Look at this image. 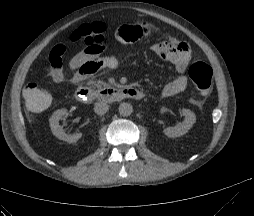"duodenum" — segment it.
<instances>
[{
	"mask_svg": "<svg viewBox=\"0 0 254 216\" xmlns=\"http://www.w3.org/2000/svg\"><path fill=\"white\" fill-rule=\"evenodd\" d=\"M76 99L81 103H87L98 99L104 102L113 103L125 98L141 99L143 93L135 88L117 89L113 87L93 89L90 87H80L75 92Z\"/></svg>",
	"mask_w": 254,
	"mask_h": 216,
	"instance_id": "obj_1",
	"label": "duodenum"
}]
</instances>
